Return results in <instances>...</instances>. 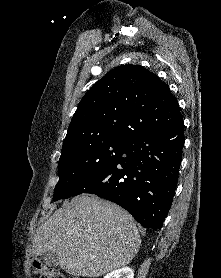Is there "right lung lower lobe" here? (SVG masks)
I'll list each match as a JSON object with an SVG mask.
<instances>
[{
	"label": "right lung lower lobe",
	"instance_id": "obj_1",
	"mask_svg": "<svg viewBox=\"0 0 221 278\" xmlns=\"http://www.w3.org/2000/svg\"><path fill=\"white\" fill-rule=\"evenodd\" d=\"M184 122L133 137L123 156L80 186L72 196L96 194L159 230L171 207L184 145Z\"/></svg>",
	"mask_w": 221,
	"mask_h": 278
}]
</instances>
